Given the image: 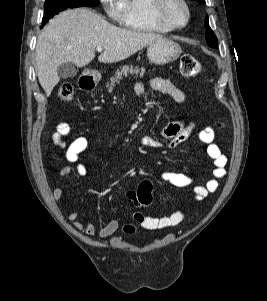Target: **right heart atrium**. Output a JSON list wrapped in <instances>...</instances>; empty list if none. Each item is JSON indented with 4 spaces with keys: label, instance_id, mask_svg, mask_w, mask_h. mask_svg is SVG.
<instances>
[{
    "label": "right heart atrium",
    "instance_id": "d8ad5b80",
    "mask_svg": "<svg viewBox=\"0 0 267 301\" xmlns=\"http://www.w3.org/2000/svg\"><path fill=\"white\" fill-rule=\"evenodd\" d=\"M103 10L109 18L116 22L122 23L124 20L123 0H99Z\"/></svg>",
    "mask_w": 267,
    "mask_h": 301
}]
</instances>
